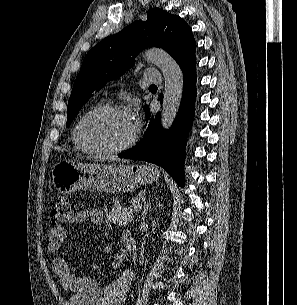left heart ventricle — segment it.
I'll return each mask as SVG.
<instances>
[{"label":"left heart ventricle","instance_id":"1","mask_svg":"<svg viewBox=\"0 0 297 305\" xmlns=\"http://www.w3.org/2000/svg\"><path fill=\"white\" fill-rule=\"evenodd\" d=\"M134 122L129 115L105 113L93 116L83 126L86 140L96 146L113 148L124 144L131 136Z\"/></svg>","mask_w":297,"mask_h":305}]
</instances>
